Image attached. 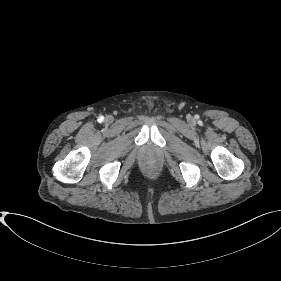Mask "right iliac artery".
Returning <instances> with one entry per match:
<instances>
[{
    "label": "right iliac artery",
    "mask_w": 281,
    "mask_h": 281,
    "mask_svg": "<svg viewBox=\"0 0 281 281\" xmlns=\"http://www.w3.org/2000/svg\"><path fill=\"white\" fill-rule=\"evenodd\" d=\"M103 119H104V117H103V116H100V117L98 118V122H102Z\"/></svg>",
    "instance_id": "1"
}]
</instances>
